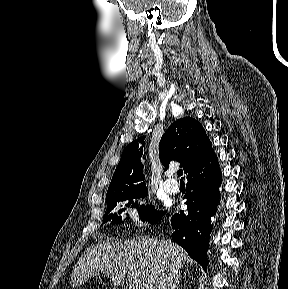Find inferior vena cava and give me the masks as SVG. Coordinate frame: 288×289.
<instances>
[{
	"mask_svg": "<svg viewBox=\"0 0 288 289\" xmlns=\"http://www.w3.org/2000/svg\"><path fill=\"white\" fill-rule=\"evenodd\" d=\"M165 243V242H164ZM167 246V243H166ZM166 251L169 253V249ZM180 266L175 261L174 257H170L165 263L164 272L161 281L159 282V289H178L180 280Z\"/></svg>",
	"mask_w": 288,
	"mask_h": 289,
	"instance_id": "inferior-vena-cava-1",
	"label": "inferior vena cava"
}]
</instances>
